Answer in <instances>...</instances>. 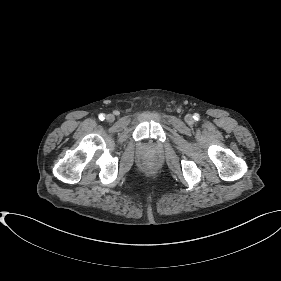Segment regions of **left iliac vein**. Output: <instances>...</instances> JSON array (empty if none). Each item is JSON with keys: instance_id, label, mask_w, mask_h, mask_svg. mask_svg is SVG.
Masks as SVG:
<instances>
[{"instance_id": "obj_1", "label": "left iliac vein", "mask_w": 281, "mask_h": 281, "mask_svg": "<svg viewBox=\"0 0 281 281\" xmlns=\"http://www.w3.org/2000/svg\"><path fill=\"white\" fill-rule=\"evenodd\" d=\"M185 120H186L187 123H192V122H193V117H192V115H187V116L185 117Z\"/></svg>"}]
</instances>
